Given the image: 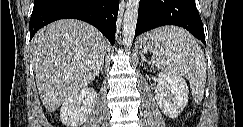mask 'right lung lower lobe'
<instances>
[{"instance_id":"obj_1","label":"right lung lower lobe","mask_w":243,"mask_h":127,"mask_svg":"<svg viewBox=\"0 0 243 127\" xmlns=\"http://www.w3.org/2000/svg\"><path fill=\"white\" fill-rule=\"evenodd\" d=\"M118 9V0H34L29 23L30 39L53 21L74 18L95 26L113 45Z\"/></svg>"}]
</instances>
